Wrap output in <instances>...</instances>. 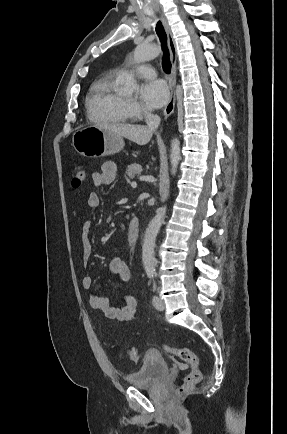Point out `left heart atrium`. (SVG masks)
Instances as JSON below:
<instances>
[{
  "mask_svg": "<svg viewBox=\"0 0 287 434\" xmlns=\"http://www.w3.org/2000/svg\"><path fill=\"white\" fill-rule=\"evenodd\" d=\"M140 98L149 108H160L168 100L169 90L162 80H152L140 87Z\"/></svg>",
  "mask_w": 287,
  "mask_h": 434,
  "instance_id": "obj_1",
  "label": "left heart atrium"
}]
</instances>
